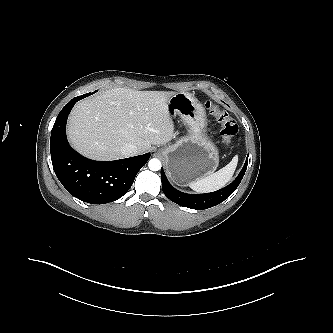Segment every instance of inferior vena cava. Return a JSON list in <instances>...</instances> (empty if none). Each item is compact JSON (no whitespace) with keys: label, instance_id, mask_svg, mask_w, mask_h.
I'll return each instance as SVG.
<instances>
[{"label":"inferior vena cava","instance_id":"1","mask_svg":"<svg viewBox=\"0 0 333 333\" xmlns=\"http://www.w3.org/2000/svg\"><path fill=\"white\" fill-rule=\"evenodd\" d=\"M120 151L124 157L134 156L139 152L138 147L132 143H127L123 145Z\"/></svg>","mask_w":333,"mask_h":333}]
</instances>
